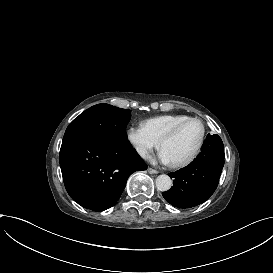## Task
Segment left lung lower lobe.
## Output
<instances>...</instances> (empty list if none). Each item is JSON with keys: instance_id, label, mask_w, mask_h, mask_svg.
Instances as JSON below:
<instances>
[{"instance_id": "1", "label": "left lung lower lobe", "mask_w": 273, "mask_h": 273, "mask_svg": "<svg viewBox=\"0 0 273 273\" xmlns=\"http://www.w3.org/2000/svg\"><path fill=\"white\" fill-rule=\"evenodd\" d=\"M224 166V146L217 135L208 134L201 153L188 166L170 173L173 186L163 192L174 207L191 208L205 202L216 190Z\"/></svg>"}]
</instances>
